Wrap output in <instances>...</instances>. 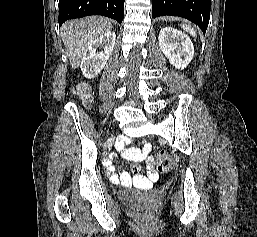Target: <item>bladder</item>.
<instances>
[{
	"label": "bladder",
	"instance_id": "1",
	"mask_svg": "<svg viewBox=\"0 0 257 237\" xmlns=\"http://www.w3.org/2000/svg\"><path fill=\"white\" fill-rule=\"evenodd\" d=\"M126 199H129V200H130V199H132V197L128 196V197H126Z\"/></svg>",
	"mask_w": 257,
	"mask_h": 237
}]
</instances>
